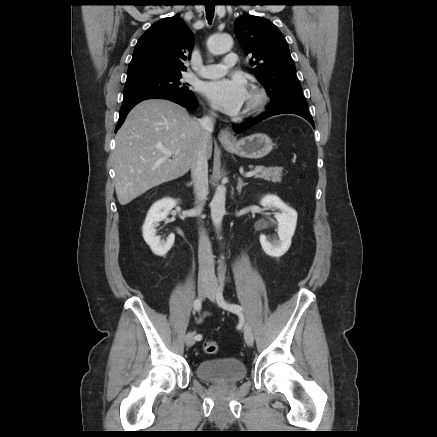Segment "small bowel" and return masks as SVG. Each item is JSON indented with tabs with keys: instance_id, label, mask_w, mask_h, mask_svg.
<instances>
[{
	"instance_id": "1",
	"label": "small bowel",
	"mask_w": 437,
	"mask_h": 437,
	"mask_svg": "<svg viewBox=\"0 0 437 437\" xmlns=\"http://www.w3.org/2000/svg\"><path fill=\"white\" fill-rule=\"evenodd\" d=\"M209 315L208 312H204L199 318L196 319L197 323H200L204 320V318H206Z\"/></svg>"
}]
</instances>
